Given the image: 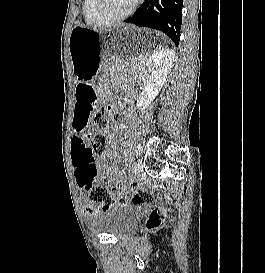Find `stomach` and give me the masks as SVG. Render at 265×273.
<instances>
[{"label":"stomach","mask_w":265,"mask_h":273,"mask_svg":"<svg viewBox=\"0 0 265 273\" xmlns=\"http://www.w3.org/2000/svg\"><path fill=\"white\" fill-rule=\"evenodd\" d=\"M140 29V25H114L108 30L75 26L69 37V53L76 79L102 78V73L117 69V64H137L142 56H154L149 50L160 49L165 40L154 35V30Z\"/></svg>","instance_id":"0dacf381"}]
</instances>
